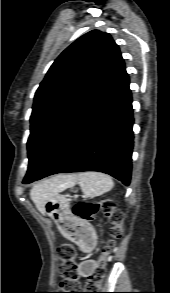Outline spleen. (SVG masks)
Returning a JSON list of instances; mask_svg holds the SVG:
<instances>
[{"label": "spleen", "instance_id": "obj_1", "mask_svg": "<svg viewBox=\"0 0 170 293\" xmlns=\"http://www.w3.org/2000/svg\"><path fill=\"white\" fill-rule=\"evenodd\" d=\"M77 179L83 194L88 198L100 196L114 185L110 176L100 172H82Z\"/></svg>", "mask_w": 170, "mask_h": 293}]
</instances>
